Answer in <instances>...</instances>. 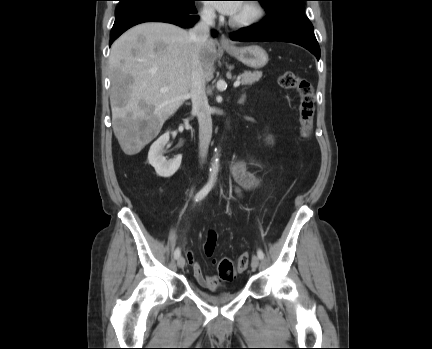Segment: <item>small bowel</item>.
<instances>
[{
	"label": "small bowel",
	"instance_id": "obj_1",
	"mask_svg": "<svg viewBox=\"0 0 432 349\" xmlns=\"http://www.w3.org/2000/svg\"><path fill=\"white\" fill-rule=\"evenodd\" d=\"M250 162L256 166H262L261 163L255 160L251 159ZM246 164V161L237 159L231 163L230 169L237 183L238 190L244 188L249 191H255L260 188L261 180L246 169ZM186 256L192 267L194 277L200 286L208 289H216L221 285L220 278L216 276H207L203 273L201 266L195 261L194 255L191 251H188Z\"/></svg>",
	"mask_w": 432,
	"mask_h": 349
}]
</instances>
